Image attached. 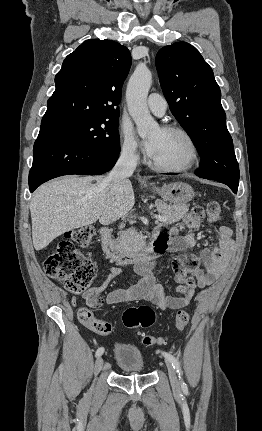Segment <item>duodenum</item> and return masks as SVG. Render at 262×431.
<instances>
[{
  "mask_svg": "<svg viewBox=\"0 0 262 431\" xmlns=\"http://www.w3.org/2000/svg\"><path fill=\"white\" fill-rule=\"evenodd\" d=\"M100 233L104 253L113 258L120 265L144 263L148 259L152 258L164 246L160 238L157 237L154 244L144 252L131 253L120 248L119 243L113 236L109 226H103Z\"/></svg>",
  "mask_w": 262,
  "mask_h": 431,
  "instance_id": "410a0bca",
  "label": "duodenum"
}]
</instances>
